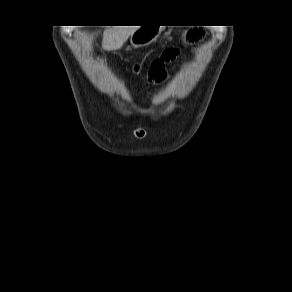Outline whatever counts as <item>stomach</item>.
I'll return each mask as SVG.
<instances>
[{"mask_svg": "<svg viewBox=\"0 0 292 292\" xmlns=\"http://www.w3.org/2000/svg\"><path fill=\"white\" fill-rule=\"evenodd\" d=\"M157 37V30L154 27H141L130 37L132 48L146 46L154 41Z\"/></svg>", "mask_w": 292, "mask_h": 292, "instance_id": "0dacf381", "label": "stomach"}]
</instances>
